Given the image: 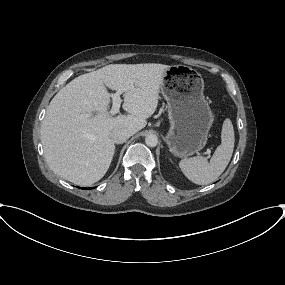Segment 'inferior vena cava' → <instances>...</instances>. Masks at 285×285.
<instances>
[{"label": "inferior vena cava", "instance_id": "inferior-vena-cava-1", "mask_svg": "<svg viewBox=\"0 0 285 285\" xmlns=\"http://www.w3.org/2000/svg\"><path fill=\"white\" fill-rule=\"evenodd\" d=\"M110 135L116 144L124 143L131 136L130 132L126 129H114Z\"/></svg>", "mask_w": 285, "mask_h": 285}]
</instances>
